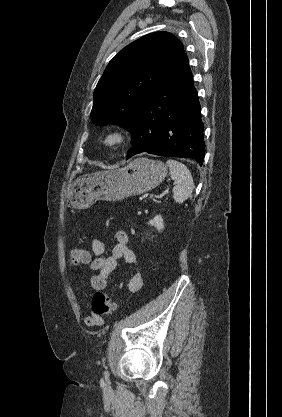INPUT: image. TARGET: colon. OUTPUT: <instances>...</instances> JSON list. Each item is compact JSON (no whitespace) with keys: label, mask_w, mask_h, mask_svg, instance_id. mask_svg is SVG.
<instances>
[{"label":"colon","mask_w":282,"mask_h":417,"mask_svg":"<svg viewBox=\"0 0 282 417\" xmlns=\"http://www.w3.org/2000/svg\"><path fill=\"white\" fill-rule=\"evenodd\" d=\"M71 260L75 266L86 265L89 262V254L82 248H74L71 252ZM114 303L109 296L97 292L92 298V310L97 316L111 315L114 311Z\"/></svg>","instance_id":"colon-1"}]
</instances>
